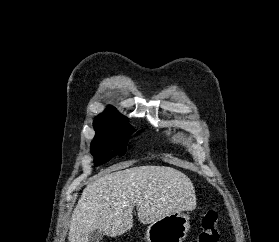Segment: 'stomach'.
I'll return each instance as SVG.
<instances>
[{
	"label": "stomach",
	"instance_id": "0dacf381",
	"mask_svg": "<svg viewBox=\"0 0 279 242\" xmlns=\"http://www.w3.org/2000/svg\"><path fill=\"white\" fill-rule=\"evenodd\" d=\"M190 229L188 215L182 212L170 213L147 227L146 242H182Z\"/></svg>",
	"mask_w": 279,
	"mask_h": 242
}]
</instances>
